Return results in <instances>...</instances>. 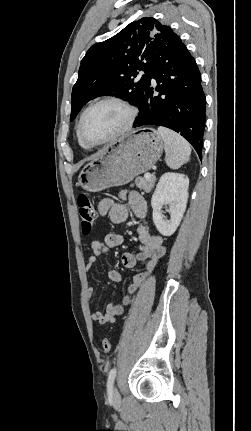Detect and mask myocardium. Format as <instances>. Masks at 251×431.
Returning a JSON list of instances; mask_svg holds the SVG:
<instances>
[{"instance_id": "1", "label": "myocardium", "mask_w": 251, "mask_h": 431, "mask_svg": "<svg viewBox=\"0 0 251 431\" xmlns=\"http://www.w3.org/2000/svg\"><path fill=\"white\" fill-rule=\"evenodd\" d=\"M105 103L117 104V105L121 106L122 108H124L127 112L126 122L117 132H115L113 135L109 136L108 138H105L99 142H90L85 138V136L83 134V122H84L85 116L93 108H95L101 104H105ZM137 114H138V111H137L136 107L133 104H131L130 102H128V101H126L120 97H116V96L103 97V98L93 102L92 104H90L82 112L80 119H79V122H78V127H77L78 137H79L80 141L85 146H87L89 148L98 147V146L110 143L112 141L119 139L120 137H122L123 135H125L127 132H129L131 130V128L133 127L135 120L137 118Z\"/></svg>"}]
</instances>
